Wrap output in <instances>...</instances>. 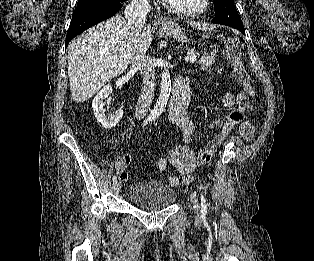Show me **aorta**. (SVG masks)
Masks as SVG:
<instances>
[{
  "instance_id": "obj_1",
  "label": "aorta",
  "mask_w": 314,
  "mask_h": 261,
  "mask_svg": "<svg viewBox=\"0 0 314 261\" xmlns=\"http://www.w3.org/2000/svg\"><path fill=\"white\" fill-rule=\"evenodd\" d=\"M171 90V76L168 69H164L161 77V90L157 102L151 111V117H159L167 105Z\"/></svg>"
}]
</instances>
